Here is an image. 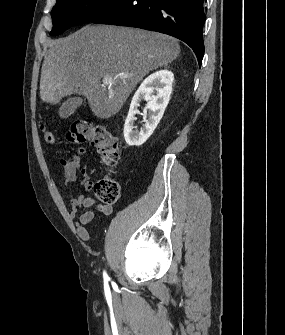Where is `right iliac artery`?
<instances>
[{"label": "right iliac artery", "mask_w": 285, "mask_h": 335, "mask_svg": "<svg viewBox=\"0 0 285 335\" xmlns=\"http://www.w3.org/2000/svg\"><path fill=\"white\" fill-rule=\"evenodd\" d=\"M103 277H104V281H108L109 280V277L108 275L106 274V272L103 273Z\"/></svg>", "instance_id": "1"}]
</instances>
